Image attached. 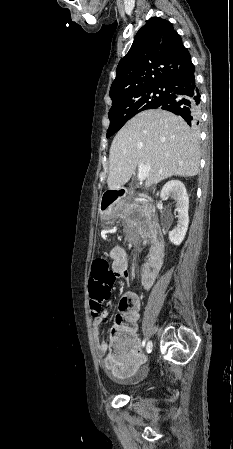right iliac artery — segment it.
<instances>
[{
	"instance_id": "obj_1",
	"label": "right iliac artery",
	"mask_w": 233,
	"mask_h": 449,
	"mask_svg": "<svg viewBox=\"0 0 233 449\" xmlns=\"http://www.w3.org/2000/svg\"><path fill=\"white\" fill-rule=\"evenodd\" d=\"M142 345L145 346V341H143ZM151 350H152V343H149V344H147L146 351H147V353H150Z\"/></svg>"
}]
</instances>
